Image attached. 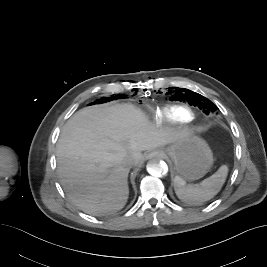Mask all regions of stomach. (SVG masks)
<instances>
[{
    "instance_id": "obj_1",
    "label": "stomach",
    "mask_w": 267,
    "mask_h": 267,
    "mask_svg": "<svg viewBox=\"0 0 267 267\" xmlns=\"http://www.w3.org/2000/svg\"><path fill=\"white\" fill-rule=\"evenodd\" d=\"M159 154L169 156L177 174L190 181L202 178L213 164V154L206 141L186 132Z\"/></svg>"
}]
</instances>
